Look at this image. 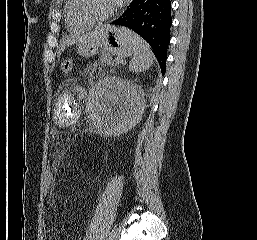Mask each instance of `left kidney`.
<instances>
[{"label":"left kidney","instance_id":"5707ae66","mask_svg":"<svg viewBox=\"0 0 257 240\" xmlns=\"http://www.w3.org/2000/svg\"><path fill=\"white\" fill-rule=\"evenodd\" d=\"M91 118L98 130L117 136L132 129L142 119L141 92L129 81L108 76L93 89Z\"/></svg>","mask_w":257,"mask_h":240}]
</instances>
